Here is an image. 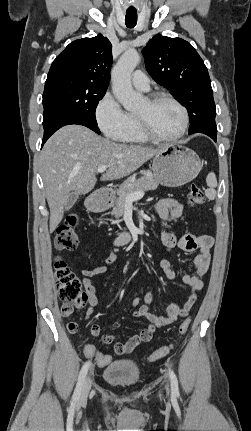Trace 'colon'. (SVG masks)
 Listing matches in <instances>:
<instances>
[{
    "instance_id": "colon-1",
    "label": "colon",
    "mask_w": 251,
    "mask_h": 431,
    "mask_svg": "<svg viewBox=\"0 0 251 431\" xmlns=\"http://www.w3.org/2000/svg\"><path fill=\"white\" fill-rule=\"evenodd\" d=\"M188 201L192 206H199L205 202V196L202 189L192 184L188 192ZM77 219L75 216L68 217L56 230L55 246L59 250H73L77 247L79 236L77 233ZM54 275L56 286L60 298L64 301L61 312L62 315L68 316L73 312L74 307L82 308L87 303V294L84 292L81 282L67 263L61 259L54 262ZM190 318L185 319L178 328V338L173 343L166 345L153 352L148 360L154 362L168 355L178 344V342L187 333L190 326ZM70 329H75L76 324L70 323ZM96 346L93 343L84 344V356L89 361L95 360V367L103 370L109 362H113V353H104L102 350L95 351Z\"/></svg>"
}]
</instances>
